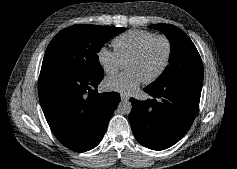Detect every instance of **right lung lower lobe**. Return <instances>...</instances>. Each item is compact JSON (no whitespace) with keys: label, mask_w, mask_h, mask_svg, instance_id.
<instances>
[{"label":"right lung lower lobe","mask_w":237,"mask_h":169,"mask_svg":"<svg viewBox=\"0 0 237 169\" xmlns=\"http://www.w3.org/2000/svg\"><path fill=\"white\" fill-rule=\"evenodd\" d=\"M103 74L83 76L58 70H41L39 99L56 138L66 147L85 152L102 140L120 102L116 92H97Z\"/></svg>","instance_id":"98d812e1"}]
</instances>
